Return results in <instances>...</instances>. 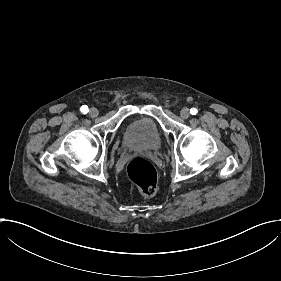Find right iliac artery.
<instances>
[{
  "instance_id": "right-iliac-artery-1",
  "label": "right iliac artery",
  "mask_w": 281,
  "mask_h": 281,
  "mask_svg": "<svg viewBox=\"0 0 281 281\" xmlns=\"http://www.w3.org/2000/svg\"><path fill=\"white\" fill-rule=\"evenodd\" d=\"M80 111L83 112L84 114H87L89 111L88 106L87 105L81 106Z\"/></svg>"
}]
</instances>
